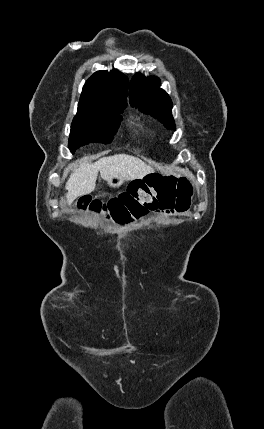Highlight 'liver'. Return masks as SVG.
Listing matches in <instances>:
<instances>
[{
  "mask_svg": "<svg viewBox=\"0 0 264 429\" xmlns=\"http://www.w3.org/2000/svg\"><path fill=\"white\" fill-rule=\"evenodd\" d=\"M74 167L75 169L65 186L69 205L76 198L94 191L98 172L105 181H108L112 176H120L127 181L142 179L145 175L153 172L151 166L126 154L103 157L95 163H88L85 160L79 166L74 165Z\"/></svg>",
  "mask_w": 264,
  "mask_h": 429,
  "instance_id": "6515ba94",
  "label": "liver"
}]
</instances>
